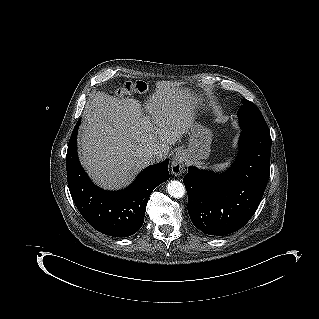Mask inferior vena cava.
Wrapping results in <instances>:
<instances>
[{
	"instance_id": "602c4592",
	"label": "inferior vena cava",
	"mask_w": 319,
	"mask_h": 319,
	"mask_svg": "<svg viewBox=\"0 0 319 319\" xmlns=\"http://www.w3.org/2000/svg\"><path fill=\"white\" fill-rule=\"evenodd\" d=\"M165 155L161 152H154L148 156V160L150 164L159 163L165 159Z\"/></svg>"
}]
</instances>
